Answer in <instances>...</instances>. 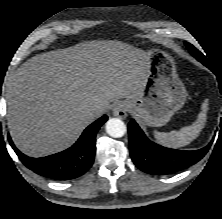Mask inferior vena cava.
Segmentation results:
<instances>
[{
  "mask_svg": "<svg viewBox=\"0 0 222 219\" xmlns=\"http://www.w3.org/2000/svg\"><path fill=\"white\" fill-rule=\"evenodd\" d=\"M105 112H106L105 109L101 107H96L92 110V113L98 116L102 115Z\"/></svg>",
  "mask_w": 222,
  "mask_h": 219,
  "instance_id": "obj_1",
  "label": "inferior vena cava"
}]
</instances>
